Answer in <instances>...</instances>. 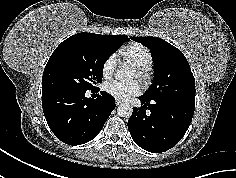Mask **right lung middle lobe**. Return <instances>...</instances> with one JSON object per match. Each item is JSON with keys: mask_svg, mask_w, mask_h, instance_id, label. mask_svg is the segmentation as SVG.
Instances as JSON below:
<instances>
[{"mask_svg": "<svg viewBox=\"0 0 236 178\" xmlns=\"http://www.w3.org/2000/svg\"><path fill=\"white\" fill-rule=\"evenodd\" d=\"M123 40L67 38L53 52L45 66L42 90L87 91L102 82L103 66Z\"/></svg>", "mask_w": 236, "mask_h": 178, "instance_id": "1", "label": "right lung middle lobe"}]
</instances>
